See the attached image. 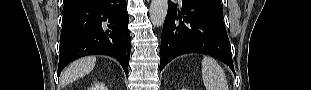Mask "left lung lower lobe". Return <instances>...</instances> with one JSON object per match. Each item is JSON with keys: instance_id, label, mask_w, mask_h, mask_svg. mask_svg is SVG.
<instances>
[{"instance_id": "0a47b994", "label": "left lung lower lobe", "mask_w": 311, "mask_h": 90, "mask_svg": "<svg viewBox=\"0 0 311 90\" xmlns=\"http://www.w3.org/2000/svg\"><path fill=\"white\" fill-rule=\"evenodd\" d=\"M186 53L213 56L234 72L221 7L204 0H183L179 10L169 0L161 37L160 71L172 59Z\"/></svg>"}]
</instances>
